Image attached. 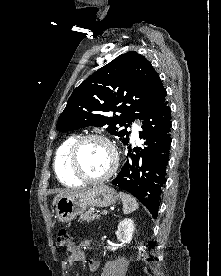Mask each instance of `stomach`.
<instances>
[{
	"mask_svg": "<svg viewBox=\"0 0 221 276\" xmlns=\"http://www.w3.org/2000/svg\"><path fill=\"white\" fill-rule=\"evenodd\" d=\"M118 200L116 191L107 185H98L82 192L60 198L56 203V216L62 223L84 213L88 207H108Z\"/></svg>",
	"mask_w": 221,
	"mask_h": 276,
	"instance_id": "0dacf381",
	"label": "stomach"
}]
</instances>
